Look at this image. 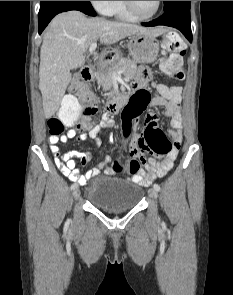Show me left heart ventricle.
<instances>
[{"label": "left heart ventricle", "instance_id": "b2bd125f", "mask_svg": "<svg viewBox=\"0 0 233 295\" xmlns=\"http://www.w3.org/2000/svg\"><path fill=\"white\" fill-rule=\"evenodd\" d=\"M133 4L138 14L148 16L155 11L157 1H133Z\"/></svg>", "mask_w": 233, "mask_h": 295}]
</instances>
